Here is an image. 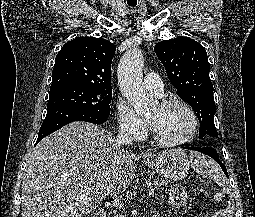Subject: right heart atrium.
<instances>
[{
    "label": "right heart atrium",
    "instance_id": "d8ad5b80",
    "mask_svg": "<svg viewBox=\"0 0 255 217\" xmlns=\"http://www.w3.org/2000/svg\"><path fill=\"white\" fill-rule=\"evenodd\" d=\"M116 118L118 130L121 134L137 139L146 135V124L137 116L132 107L120 100L116 105Z\"/></svg>",
    "mask_w": 255,
    "mask_h": 217
}]
</instances>
